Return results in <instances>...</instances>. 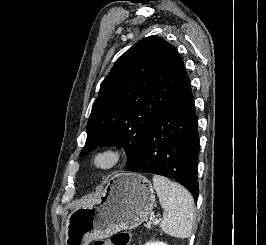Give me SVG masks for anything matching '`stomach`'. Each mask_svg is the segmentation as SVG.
Returning a JSON list of instances; mask_svg holds the SVG:
<instances>
[{"label": "stomach", "mask_w": 266, "mask_h": 245, "mask_svg": "<svg viewBox=\"0 0 266 245\" xmlns=\"http://www.w3.org/2000/svg\"><path fill=\"white\" fill-rule=\"evenodd\" d=\"M155 205L153 187L142 175L116 173L101 197L79 207L66 221V245H88L92 239H107L119 231L139 227Z\"/></svg>", "instance_id": "1"}]
</instances>
